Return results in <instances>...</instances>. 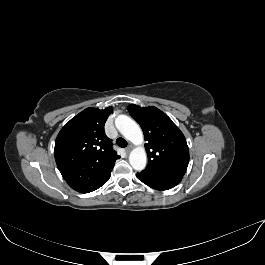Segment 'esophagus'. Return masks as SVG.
Wrapping results in <instances>:
<instances>
[{
    "label": "esophagus",
    "mask_w": 265,
    "mask_h": 265,
    "mask_svg": "<svg viewBox=\"0 0 265 265\" xmlns=\"http://www.w3.org/2000/svg\"><path fill=\"white\" fill-rule=\"evenodd\" d=\"M125 150H126L127 153H129L132 150V146L129 145Z\"/></svg>",
    "instance_id": "34e87169"
}]
</instances>
